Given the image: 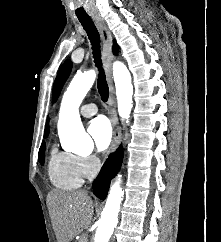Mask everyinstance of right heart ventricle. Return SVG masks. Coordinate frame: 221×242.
<instances>
[{"label":"right heart ventricle","instance_id":"obj_1","mask_svg":"<svg viewBox=\"0 0 221 242\" xmlns=\"http://www.w3.org/2000/svg\"><path fill=\"white\" fill-rule=\"evenodd\" d=\"M77 156L59 151L53 147L48 160V177L53 186L58 189L69 190L82 184V176L77 167Z\"/></svg>","mask_w":221,"mask_h":242}]
</instances>
